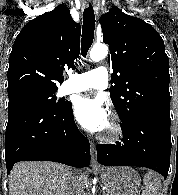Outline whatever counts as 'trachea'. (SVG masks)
Segmentation results:
<instances>
[{"instance_id":"1","label":"trachea","mask_w":178,"mask_h":195,"mask_svg":"<svg viewBox=\"0 0 178 195\" xmlns=\"http://www.w3.org/2000/svg\"><path fill=\"white\" fill-rule=\"evenodd\" d=\"M95 30V15L91 4L84 10L83 13V26H82V39H81V52L82 56L86 57L89 48L93 43Z\"/></svg>"}]
</instances>
